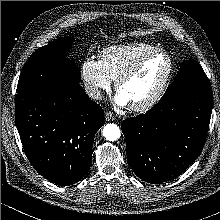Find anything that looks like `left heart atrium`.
<instances>
[{"label":"left heart atrium","mask_w":220,"mask_h":220,"mask_svg":"<svg viewBox=\"0 0 220 220\" xmlns=\"http://www.w3.org/2000/svg\"><path fill=\"white\" fill-rule=\"evenodd\" d=\"M115 101L120 106H126L129 104L127 99L120 92L116 95Z\"/></svg>","instance_id":"left-heart-atrium-1"}]
</instances>
